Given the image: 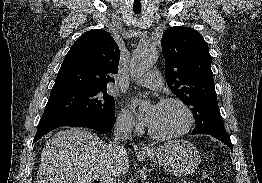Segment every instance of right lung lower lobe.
I'll return each mask as SVG.
<instances>
[{"label":"right lung lower lobe","mask_w":262,"mask_h":183,"mask_svg":"<svg viewBox=\"0 0 262 183\" xmlns=\"http://www.w3.org/2000/svg\"><path fill=\"white\" fill-rule=\"evenodd\" d=\"M114 124L115 114L105 115L104 117L74 114H49L42 116L33 143L43 135L60 126L87 127L104 134L108 133L113 128Z\"/></svg>","instance_id":"1"}]
</instances>
